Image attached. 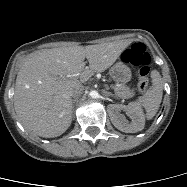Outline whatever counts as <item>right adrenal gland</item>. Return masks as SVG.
Here are the masks:
<instances>
[{"instance_id": "2a0ac1e0", "label": "right adrenal gland", "mask_w": 187, "mask_h": 187, "mask_svg": "<svg viewBox=\"0 0 187 187\" xmlns=\"http://www.w3.org/2000/svg\"><path fill=\"white\" fill-rule=\"evenodd\" d=\"M76 101H77L76 98L72 100V103H73V109H74V107H75V103H76Z\"/></svg>"}]
</instances>
